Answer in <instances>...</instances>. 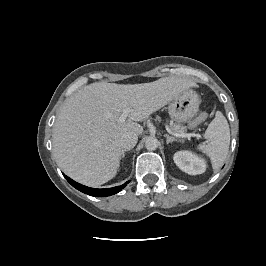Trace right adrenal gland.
Here are the masks:
<instances>
[{
  "instance_id": "1",
  "label": "right adrenal gland",
  "mask_w": 266,
  "mask_h": 266,
  "mask_svg": "<svg viewBox=\"0 0 266 266\" xmlns=\"http://www.w3.org/2000/svg\"><path fill=\"white\" fill-rule=\"evenodd\" d=\"M126 151H130V149H128V150H123V152H122V160H124L125 152H126Z\"/></svg>"
}]
</instances>
